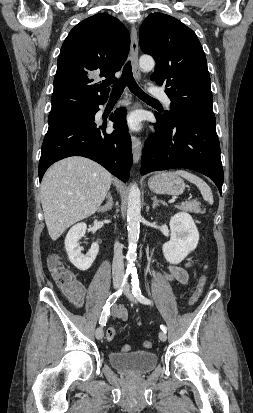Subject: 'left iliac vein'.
<instances>
[{"instance_id": "1", "label": "left iliac vein", "mask_w": 253, "mask_h": 413, "mask_svg": "<svg viewBox=\"0 0 253 413\" xmlns=\"http://www.w3.org/2000/svg\"><path fill=\"white\" fill-rule=\"evenodd\" d=\"M124 294L128 297L129 300H131V301H136L135 298L133 297L131 291H130L129 285H127V286L125 287ZM159 339H160L162 342H165L166 339H167L166 333L163 332V331H161V332L159 333Z\"/></svg>"}]
</instances>
